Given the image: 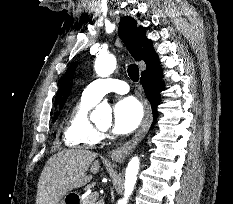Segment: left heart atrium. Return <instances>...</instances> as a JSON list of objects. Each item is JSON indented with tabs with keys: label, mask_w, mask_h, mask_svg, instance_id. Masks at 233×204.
Returning <instances> with one entry per match:
<instances>
[{
	"label": "left heart atrium",
	"mask_w": 233,
	"mask_h": 204,
	"mask_svg": "<svg viewBox=\"0 0 233 204\" xmlns=\"http://www.w3.org/2000/svg\"><path fill=\"white\" fill-rule=\"evenodd\" d=\"M142 118L143 108L136 98L120 99L113 108V132L128 134L139 126Z\"/></svg>",
	"instance_id": "1"
}]
</instances>
